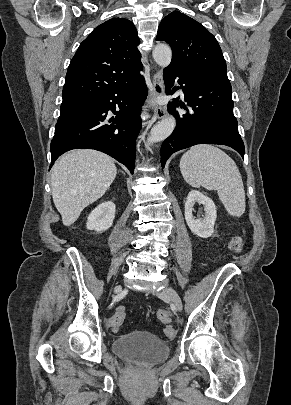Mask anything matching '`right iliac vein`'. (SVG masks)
<instances>
[{
	"label": "right iliac vein",
	"instance_id": "63e3f726",
	"mask_svg": "<svg viewBox=\"0 0 291 405\" xmlns=\"http://www.w3.org/2000/svg\"><path fill=\"white\" fill-rule=\"evenodd\" d=\"M121 289V286H117L116 288H115V291H118V290H120Z\"/></svg>",
	"mask_w": 291,
	"mask_h": 405
}]
</instances>
